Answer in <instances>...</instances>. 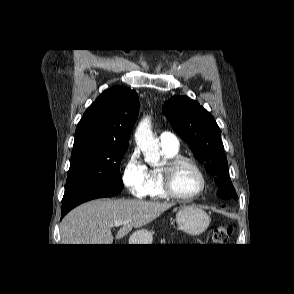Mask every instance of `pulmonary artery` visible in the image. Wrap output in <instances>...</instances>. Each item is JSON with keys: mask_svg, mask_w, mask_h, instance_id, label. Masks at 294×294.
I'll use <instances>...</instances> for the list:
<instances>
[{"mask_svg": "<svg viewBox=\"0 0 294 294\" xmlns=\"http://www.w3.org/2000/svg\"><path fill=\"white\" fill-rule=\"evenodd\" d=\"M160 146L169 150H177L179 141L176 136L170 132H163L159 136Z\"/></svg>", "mask_w": 294, "mask_h": 294, "instance_id": "obj_1", "label": "pulmonary artery"}]
</instances>
